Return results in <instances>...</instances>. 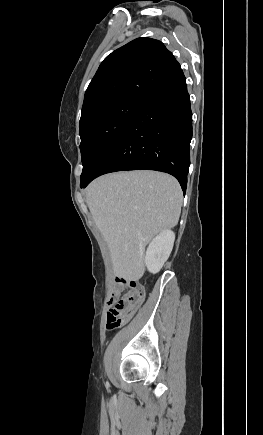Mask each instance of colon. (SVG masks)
<instances>
[{
  "instance_id": "colon-1",
  "label": "colon",
  "mask_w": 263,
  "mask_h": 435,
  "mask_svg": "<svg viewBox=\"0 0 263 435\" xmlns=\"http://www.w3.org/2000/svg\"><path fill=\"white\" fill-rule=\"evenodd\" d=\"M116 289L123 294L108 309L107 328L109 330L119 328L130 320L144 299V289L137 280H119Z\"/></svg>"
}]
</instances>
